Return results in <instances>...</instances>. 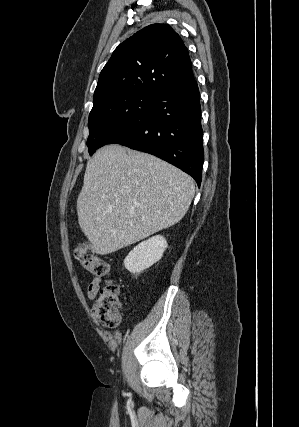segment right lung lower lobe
I'll list each match as a JSON object with an SVG mask.
<instances>
[{"label":"right lung lower lobe","mask_w":299,"mask_h":427,"mask_svg":"<svg viewBox=\"0 0 299 427\" xmlns=\"http://www.w3.org/2000/svg\"><path fill=\"white\" fill-rule=\"evenodd\" d=\"M107 144L155 155L191 175L200 186L204 152L197 82L157 94L145 112Z\"/></svg>","instance_id":"1"}]
</instances>
